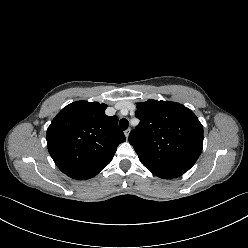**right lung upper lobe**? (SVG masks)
Segmentation results:
<instances>
[{"label":"right lung upper lobe","instance_id":"right-lung-upper-lobe-1","mask_svg":"<svg viewBox=\"0 0 248 248\" xmlns=\"http://www.w3.org/2000/svg\"><path fill=\"white\" fill-rule=\"evenodd\" d=\"M106 104L77 101L64 107L47 130L48 151L70 177L100 172L126 140L118 118L107 116Z\"/></svg>","mask_w":248,"mask_h":248}]
</instances>
